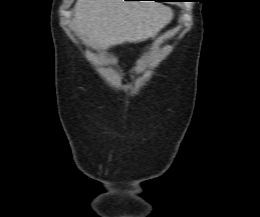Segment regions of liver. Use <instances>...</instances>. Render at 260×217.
Listing matches in <instances>:
<instances>
[{"label": "liver", "mask_w": 260, "mask_h": 217, "mask_svg": "<svg viewBox=\"0 0 260 217\" xmlns=\"http://www.w3.org/2000/svg\"><path fill=\"white\" fill-rule=\"evenodd\" d=\"M72 29L85 44L107 49L154 37L173 18L160 3L124 0H77Z\"/></svg>", "instance_id": "obj_1"}]
</instances>
